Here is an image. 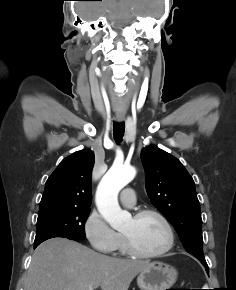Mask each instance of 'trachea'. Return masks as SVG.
<instances>
[{
    "label": "trachea",
    "instance_id": "3493384b",
    "mask_svg": "<svg viewBox=\"0 0 236 290\" xmlns=\"http://www.w3.org/2000/svg\"><path fill=\"white\" fill-rule=\"evenodd\" d=\"M125 131V124L124 122L117 123L115 122L113 125V135L114 139L117 143H120L122 141V138L124 136Z\"/></svg>",
    "mask_w": 236,
    "mask_h": 290
}]
</instances>
